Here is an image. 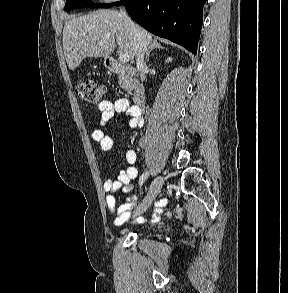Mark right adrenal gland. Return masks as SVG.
Segmentation results:
<instances>
[{"mask_svg":"<svg viewBox=\"0 0 288 293\" xmlns=\"http://www.w3.org/2000/svg\"><path fill=\"white\" fill-rule=\"evenodd\" d=\"M154 49H164V47L162 45H160L159 43H157L156 41H153V43L148 47V49L146 50V61H149V56L150 53L154 50Z\"/></svg>","mask_w":288,"mask_h":293,"instance_id":"right-adrenal-gland-1","label":"right adrenal gland"}]
</instances>
